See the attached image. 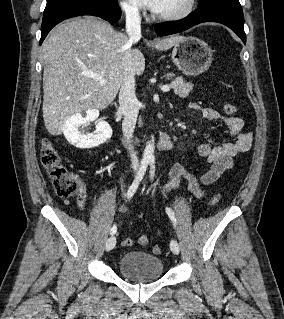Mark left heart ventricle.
I'll return each instance as SVG.
<instances>
[{
	"mask_svg": "<svg viewBox=\"0 0 284 319\" xmlns=\"http://www.w3.org/2000/svg\"><path fill=\"white\" fill-rule=\"evenodd\" d=\"M186 2L187 0H161L155 13L165 15L178 12L185 7Z\"/></svg>",
	"mask_w": 284,
	"mask_h": 319,
	"instance_id": "left-heart-ventricle-1",
	"label": "left heart ventricle"
}]
</instances>
